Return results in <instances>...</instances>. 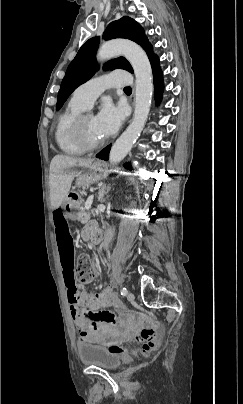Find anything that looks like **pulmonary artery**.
<instances>
[{
    "label": "pulmonary artery",
    "instance_id": "e3ab8cb5",
    "mask_svg": "<svg viewBox=\"0 0 243 404\" xmlns=\"http://www.w3.org/2000/svg\"><path fill=\"white\" fill-rule=\"evenodd\" d=\"M123 82L117 79L113 74H101L91 78L78 87L79 97L85 103L87 108L92 106L94 100L103 93L104 90L111 87H121Z\"/></svg>",
    "mask_w": 243,
    "mask_h": 404
}]
</instances>
